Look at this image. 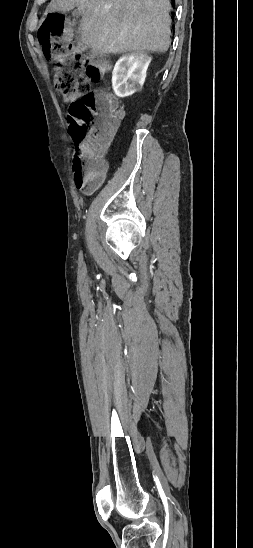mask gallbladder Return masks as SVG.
I'll list each match as a JSON object with an SVG mask.
<instances>
[{
	"label": "gallbladder",
	"mask_w": 253,
	"mask_h": 548,
	"mask_svg": "<svg viewBox=\"0 0 253 548\" xmlns=\"http://www.w3.org/2000/svg\"><path fill=\"white\" fill-rule=\"evenodd\" d=\"M72 15L75 16V17H79L81 15V12H79L78 10H74L72 12Z\"/></svg>",
	"instance_id": "bac80fb5"
}]
</instances>
